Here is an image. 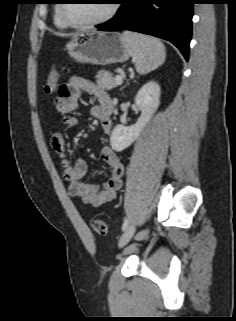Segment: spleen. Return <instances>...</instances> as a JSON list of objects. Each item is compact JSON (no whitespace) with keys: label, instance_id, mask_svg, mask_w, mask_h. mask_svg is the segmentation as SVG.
<instances>
[{"label":"spleen","instance_id":"1","mask_svg":"<svg viewBox=\"0 0 236 321\" xmlns=\"http://www.w3.org/2000/svg\"><path fill=\"white\" fill-rule=\"evenodd\" d=\"M122 41L129 49L136 71L140 74L153 71L165 61V46L156 38L124 31Z\"/></svg>","mask_w":236,"mask_h":321}]
</instances>
